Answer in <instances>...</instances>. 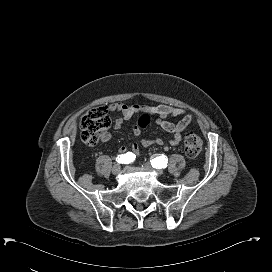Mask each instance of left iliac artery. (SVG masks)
I'll return each mask as SVG.
<instances>
[{
    "mask_svg": "<svg viewBox=\"0 0 272 272\" xmlns=\"http://www.w3.org/2000/svg\"><path fill=\"white\" fill-rule=\"evenodd\" d=\"M167 157L162 155V156H156L155 158H153L151 160V165L154 167V168H165L167 167Z\"/></svg>",
    "mask_w": 272,
    "mask_h": 272,
    "instance_id": "left-iliac-artery-1",
    "label": "left iliac artery"
}]
</instances>
